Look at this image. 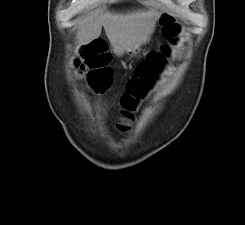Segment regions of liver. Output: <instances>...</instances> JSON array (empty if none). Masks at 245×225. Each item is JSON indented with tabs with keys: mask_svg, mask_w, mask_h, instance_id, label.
Returning <instances> with one entry per match:
<instances>
[{
	"mask_svg": "<svg viewBox=\"0 0 245 225\" xmlns=\"http://www.w3.org/2000/svg\"><path fill=\"white\" fill-rule=\"evenodd\" d=\"M158 13L155 10H137L128 13H93L79 24L76 34L78 45L97 39L102 30L116 55L146 43L154 30Z\"/></svg>",
	"mask_w": 245,
	"mask_h": 225,
	"instance_id": "6515ba94",
	"label": "liver"
}]
</instances>
